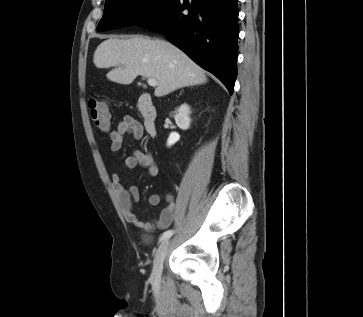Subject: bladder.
Returning <instances> with one entry per match:
<instances>
[{
    "label": "bladder",
    "mask_w": 363,
    "mask_h": 317,
    "mask_svg": "<svg viewBox=\"0 0 363 317\" xmlns=\"http://www.w3.org/2000/svg\"><path fill=\"white\" fill-rule=\"evenodd\" d=\"M145 242H146L147 244H151V243H152V238H151L150 236L146 235V236H145Z\"/></svg>",
    "instance_id": "obj_1"
}]
</instances>
